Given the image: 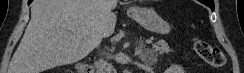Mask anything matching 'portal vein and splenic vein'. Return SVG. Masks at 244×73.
Instances as JSON below:
<instances>
[{"label": "portal vein and splenic vein", "instance_id": "obj_1", "mask_svg": "<svg viewBox=\"0 0 244 73\" xmlns=\"http://www.w3.org/2000/svg\"><path fill=\"white\" fill-rule=\"evenodd\" d=\"M146 43H148V44H150V43H152V40H146Z\"/></svg>", "mask_w": 244, "mask_h": 73}]
</instances>
